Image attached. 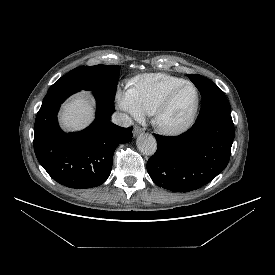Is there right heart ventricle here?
I'll use <instances>...</instances> for the list:
<instances>
[{
	"label": "right heart ventricle",
	"instance_id": "1",
	"mask_svg": "<svg viewBox=\"0 0 275 275\" xmlns=\"http://www.w3.org/2000/svg\"><path fill=\"white\" fill-rule=\"evenodd\" d=\"M184 81V79L164 73H151L137 77L132 88L142 112L151 115L167 92Z\"/></svg>",
	"mask_w": 275,
	"mask_h": 275
}]
</instances>
